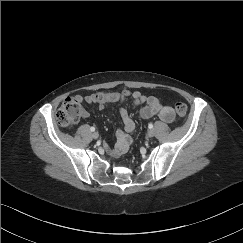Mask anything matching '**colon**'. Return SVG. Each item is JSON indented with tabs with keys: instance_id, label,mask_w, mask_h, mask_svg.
Returning a JSON list of instances; mask_svg holds the SVG:
<instances>
[{
	"instance_id": "colon-1",
	"label": "colon",
	"mask_w": 243,
	"mask_h": 243,
	"mask_svg": "<svg viewBox=\"0 0 243 243\" xmlns=\"http://www.w3.org/2000/svg\"><path fill=\"white\" fill-rule=\"evenodd\" d=\"M110 100H118L120 93L106 94ZM81 100L75 97H67L59 107L56 113V120L61 126H70L78 122L81 116ZM176 113L179 116H184L187 113V105L182 102H178L175 105ZM130 151L127 152L129 154Z\"/></svg>"
}]
</instances>
